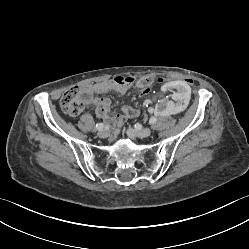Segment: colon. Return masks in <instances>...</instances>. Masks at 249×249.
Instances as JSON below:
<instances>
[{
    "label": "colon",
    "instance_id": "5ec220e1",
    "mask_svg": "<svg viewBox=\"0 0 249 249\" xmlns=\"http://www.w3.org/2000/svg\"><path fill=\"white\" fill-rule=\"evenodd\" d=\"M162 79H153L152 83H161ZM149 92V89L144 91L145 94ZM60 104L63 110L70 115H78L82 112L84 103V93L78 86L67 89L60 99Z\"/></svg>",
    "mask_w": 249,
    "mask_h": 249
}]
</instances>
